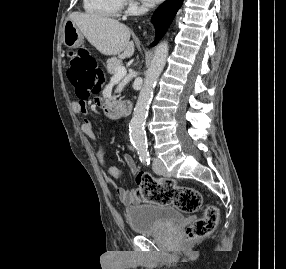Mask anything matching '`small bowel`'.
Listing matches in <instances>:
<instances>
[{
	"mask_svg": "<svg viewBox=\"0 0 286 269\" xmlns=\"http://www.w3.org/2000/svg\"><path fill=\"white\" fill-rule=\"evenodd\" d=\"M97 99L101 98L100 94L96 95ZM86 97H79L78 100L72 103V110L81 119L82 132L97 144V150L95 153L98 164L104 172L107 182L115 188L118 198L124 204H133L138 202L136 192L132 189H126L118 186L117 181H124L127 178V174L124 171L119 170L114 166H108L105 160L107 153V145L103 138L95 131L92 121L89 118L90 108L86 103ZM109 105L108 101H96V106H99V110H106V106ZM105 120H117L116 111H107V115L104 116ZM123 163L127 166L128 170L135 174L137 172V165L134 159L130 155H124L122 157Z\"/></svg>",
	"mask_w": 286,
	"mask_h": 269,
	"instance_id": "1",
	"label": "small bowel"
}]
</instances>
